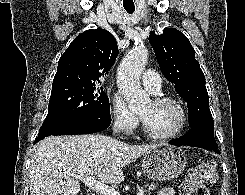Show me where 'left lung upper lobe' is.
Here are the masks:
<instances>
[{"mask_svg": "<svg viewBox=\"0 0 245 195\" xmlns=\"http://www.w3.org/2000/svg\"><path fill=\"white\" fill-rule=\"evenodd\" d=\"M149 42L155 51L161 72L187 102L190 127L214 133L205 76L188 38L177 29L167 28L162 34L151 32Z\"/></svg>", "mask_w": 245, "mask_h": 195, "instance_id": "left-lung-upper-lobe-1", "label": "left lung upper lobe"}]
</instances>
